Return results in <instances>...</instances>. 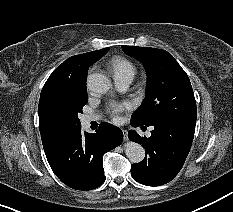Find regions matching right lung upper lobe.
Wrapping results in <instances>:
<instances>
[{
    "instance_id": "1",
    "label": "right lung upper lobe",
    "mask_w": 233,
    "mask_h": 212,
    "mask_svg": "<svg viewBox=\"0 0 233 212\" xmlns=\"http://www.w3.org/2000/svg\"><path fill=\"white\" fill-rule=\"evenodd\" d=\"M108 50L109 48H104L68 58L49 76L48 80L44 84L41 91L38 114L39 129L45 153L56 147L66 135H61L55 132L46 123L42 114L41 106L44 96L53 90L67 86H86L85 81L90 65L104 56Z\"/></svg>"
}]
</instances>
